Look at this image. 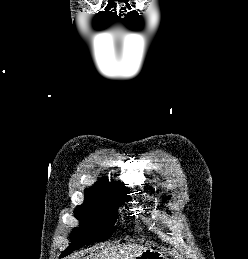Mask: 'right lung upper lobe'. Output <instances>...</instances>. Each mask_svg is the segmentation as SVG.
<instances>
[{"mask_svg": "<svg viewBox=\"0 0 248 259\" xmlns=\"http://www.w3.org/2000/svg\"><path fill=\"white\" fill-rule=\"evenodd\" d=\"M124 184L109 182L108 179L99 180L90 189H85V198L91 199L99 196L119 197L126 192Z\"/></svg>", "mask_w": 248, "mask_h": 259, "instance_id": "obj_1", "label": "right lung upper lobe"}]
</instances>
